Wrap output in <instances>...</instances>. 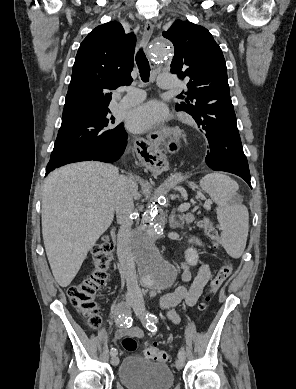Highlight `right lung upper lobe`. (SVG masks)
Returning a JSON list of instances; mask_svg holds the SVG:
<instances>
[{
	"mask_svg": "<svg viewBox=\"0 0 296 389\" xmlns=\"http://www.w3.org/2000/svg\"><path fill=\"white\" fill-rule=\"evenodd\" d=\"M136 38L118 22L96 27L81 43L63 110V117L109 111L112 90L130 85Z\"/></svg>",
	"mask_w": 296,
	"mask_h": 389,
	"instance_id": "cb5924a9",
	"label": "right lung upper lobe"
}]
</instances>
